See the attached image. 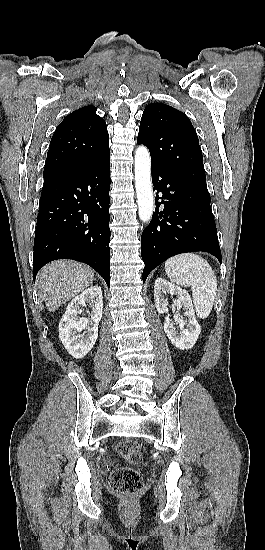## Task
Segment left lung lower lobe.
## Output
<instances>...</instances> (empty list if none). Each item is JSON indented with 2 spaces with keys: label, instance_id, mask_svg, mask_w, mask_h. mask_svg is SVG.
I'll list each match as a JSON object with an SVG mask.
<instances>
[{
  "label": "left lung lower lobe",
  "instance_id": "1",
  "mask_svg": "<svg viewBox=\"0 0 265 550\" xmlns=\"http://www.w3.org/2000/svg\"><path fill=\"white\" fill-rule=\"evenodd\" d=\"M151 167L152 183L157 190L156 209L141 236V256L145 264L143 283L154 268L180 253L204 251L213 254L221 263L209 192L157 162L151 161Z\"/></svg>",
  "mask_w": 265,
  "mask_h": 550
}]
</instances>
